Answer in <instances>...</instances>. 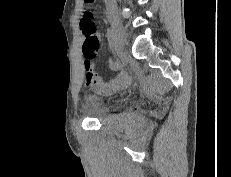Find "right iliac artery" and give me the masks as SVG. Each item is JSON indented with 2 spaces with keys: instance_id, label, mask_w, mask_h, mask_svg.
I'll use <instances>...</instances> for the list:
<instances>
[{
  "instance_id": "obj_1",
  "label": "right iliac artery",
  "mask_w": 231,
  "mask_h": 177,
  "mask_svg": "<svg viewBox=\"0 0 231 177\" xmlns=\"http://www.w3.org/2000/svg\"><path fill=\"white\" fill-rule=\"evenodd\" d=\"M107 38L110 49L114 50L115 48V35L111 28L107 29Z\"/></svg>"
}]
</instances>
